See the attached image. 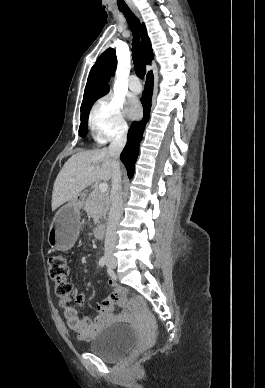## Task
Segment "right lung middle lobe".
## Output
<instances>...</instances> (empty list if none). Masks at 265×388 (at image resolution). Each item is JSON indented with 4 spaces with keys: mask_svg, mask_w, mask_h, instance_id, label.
I'll return each mask as SVG.
<instances>
[{
    "mask_svg": "<svg viewBox=\"0 0 265 388\" xmlns=\"http://www.w3.org/2000/svg\"><path fill=\"white\" fill-rule=\"evenodd\" d=\"M107 94V93H105ZM105 94L95 96L91 99H89L87 102L81 105V124L79 128V135L82 137L86 136L87 128H88V116L90 109L94 102L99 99L100 97L104 96Z\"/></svg>",
    "mask_w": 265,
    "mask_h": 388,
    "instance_id": "dd1d6c3e",
    "label": "right lung middle lobe"
}]
</instances>
